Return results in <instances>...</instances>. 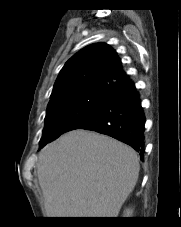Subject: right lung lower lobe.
<instances>
[{"instance_id":"1","label":"right lung lower lobe","mask_w":181,"mask_h":227,"mask_svg":"<svg viewBox=\"0 0 181 227\" xmlns=\"http://www.w3.org/2000/svg\"><path fill=\"white\" fill-rule=\"evenodd\" d=\"M144 125L145 116L139 94L133 82L125 76L111 89L108 98L98 110L70 130L87 129L109 135L130 145L139 152L143 160Z\"/></svg>"}]
</instances>
